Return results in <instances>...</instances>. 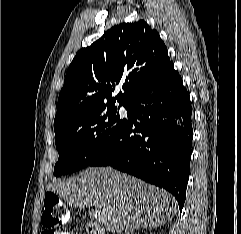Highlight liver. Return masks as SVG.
I'll list each match as a JSON object with an SVG mask.
<instances>
[{"label": "liver", "instance_id": "obj_1", "mask_svg": "<svg viewBox=\"0 0 241 234\" xmlns=\"http://www.w3.org/2000/svg\"><path fill=\"white\" fill-rule=\"evenodd\" d=\"M48 189L71 207H95L109 232L155 227L177 213L175 198L111 167H93L66 181H55Z\"/></svg>", "mask_w": 241, "mask_h": 234}]
</instances>
